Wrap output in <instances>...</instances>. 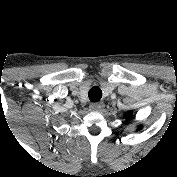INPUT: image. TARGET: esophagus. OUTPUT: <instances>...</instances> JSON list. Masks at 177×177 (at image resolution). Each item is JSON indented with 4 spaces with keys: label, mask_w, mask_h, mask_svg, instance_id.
Here are the masks:
<instances>
[{
    "label": "esophagus",
    "mask_w": 177,
    "mask_h": 177,
    "mask_svg": "<svg viewBox=\"0 0 177 177\" xmlns=\"http://www.w3.org/2000/svg\"><path fill=\"white\" fill-rule=\"evenodd\" d=\"M104 104L102 102H95L89 106V109L94 112H99L103 109Z\"/></svg>",
    "instance_id": "esophagus-1"
}]
</instances>
